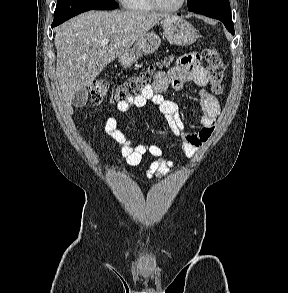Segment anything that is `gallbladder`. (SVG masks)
<instances>
[{
	"mask_svg": "<svg viewBox=\"0 0 288 293\" xmlns=\"http://www.w3.org/2000/svg\"><path fill=\"white\" fill-rule=\"evenodd\" d=\"M88 100V91L86 87L79 89L72 100V103L75 107L81 108L86 105Z\"/></svg>",
	"mask_w": 288,
	"mask_h": 293,
	"instance_id": "bac80fb5",
	"label": "gallbladder"
}]
</instances>
